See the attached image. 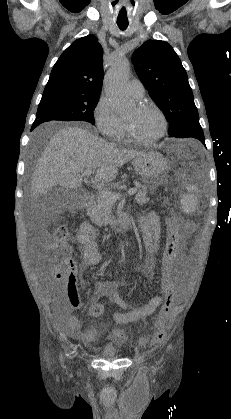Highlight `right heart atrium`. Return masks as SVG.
I'll return each instance as SVG.
<instances>
[{"label":"right heart atrium","mask_w":231,"mask_h":419,"mask_svg":"<svg viewBox=\"0 0 231 419\" xmlns=\"http://www.w3.org/2000/svg\"><path fill=\"white\" fill-rule=\"evenodd\" d=\"M94 118L100 132L108 138L124 136L126 126L124 121L115 113L110 102L101 96L94 108Z\"/></svg>","instance_id":"1"}]
</instances>
